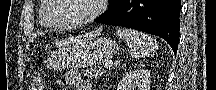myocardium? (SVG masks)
<instances>
[{
  "label": "myocardium",
  "instance_id": "1",
  "mask_svg": "<svg viewBox=\"0 0 216 90\" xmlns=\"http://www.w3.org/2000/svg\"><path fill=\"white\" fill-rule=\"evenodd\" d=\"M92 3H95L94 10L85 18H83L81 21L73 24V25H57L53 23L52 21L54 18H56V15H59V12H62V9L64 8L63 2H60V0H48L49 3L53 4L54 8H52V11H48V14H46V17H44V22L46 25L56 31H70L77 28H80L94 19H96L102 12L103 7L100 3H105V0H91Z\"/></svg>",
  "mask_w": 216,
  "mask_h": 90
}]
</instances>
